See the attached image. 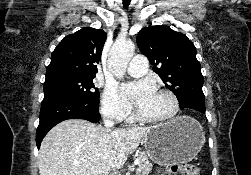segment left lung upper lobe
<instances>
[{
    "mask_svg": "<svg viewBox=\"0 0 251 175\" xmlns=\"http://www.w3.org/2000/svg\"><path fill=\"white\" fill-rule=\"evenodd\" d=\"M140 51L146 55L165 85L180 104H205L203 76L196 48L188 37L168 26L143 28L137 35Z\"/></svg>",
    "mask_w": 251,
    "mask_h": 175,
    "instance_id": "left-lung-upper-lobe-1",
    "label": "left lung upper lobe"
}]
</instances>
